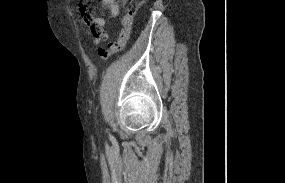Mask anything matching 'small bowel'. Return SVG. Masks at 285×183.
Wrapping results in <instances>:
<instances>
[{
  "instance_id": "c3829d8e",
  "label": "small bowel",
  "mask_w": 285,
  "mask_h": 183,
  "mask_svg": "<svg viewBox=\"0 0 285 183\" xmlns=\"http://www.w3.org/2000/svg\"><path fill=\"white\" fill-rule=\"evenodd\" d=\"M103 5L109 11V18H117L120 14V7L116 0H102ZM80 26L85 29L87 36L91 37L93 43L98 45L108 40V34L105 31L107 19L92 14L85 5L81 8Z\"/></svg>"
}]
</instances>
